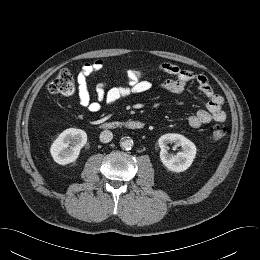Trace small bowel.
<instances>
[{"instance_id": "small-bowel-1", "label": "small bowel", "mask_w": 260, "mask_h": 260, "mask_svg": "<svg viewBox=\"0 0 260 260\" xmlns=\"http://www.w3.org/2000/svg\"><path fill=\"white\" fill-rule=\"evenodd\" d=\"M104 67L102 60L85 63L76 77L79 103L89 113L97 114L101 111L103 104L111 106L121 98L142 95L151 89V84L144 79L142 69L128 68L123 72L126 79L125 85L108 87L106 82H100L95 88L96 99H93L88 79L103 71ZM154 69L172 76L160 84L163 91L180 93L186 89L190 82H196L201 93L208 99L205 109L198 110L189 117L188 123L191 127L198 128L212 120L217 122L226 120L227 114L223 110V97L213 90L205 75L168 62L160 63Z\"/></svg>"}]
</instances>
